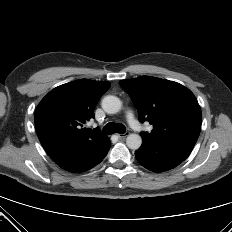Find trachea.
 <instances>
[{
    "label": "trachea",
    "mask_w": 232,
    "mask_h": 232,
    "mask_svg": "<svg viewBox=\"0 0 232 232\" xmlns=\"http://www.w3.org/2000/svg\"><path fill=\"white\" fill-rule=\"evenodd\" d=\"M126 128L123 124H115V123H108L103 128L102 134L103 135H111L113 133H125Z\"/></svg>",
    "instance_id": "1"
}]
</instances>
